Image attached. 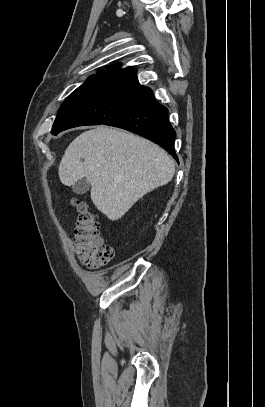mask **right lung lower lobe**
Returning <instances> with one entry per match:
<instances>
[{
  "instance_id": "right-lung-lower-lobe-1",
  "label": "right lung lower lobe",
  "mask_w": 265,
  "mask_h": 407,
  "mask_svg": "<svg viewBox=\"0 0 265 407\" xmlns=\"http://www.w3.org/2000/svg\"><path fill=\"white\" fill-rule=\"evenodd\" d=\"M167 114V108L158 103L152 95L104 125L119 127L143 136L163 147L178 161L174 150L176 132L169 123Z\"/></svg>"
}]
</instances>
